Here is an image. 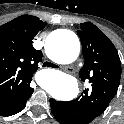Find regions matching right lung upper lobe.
Listing matches in <instances>:
<instances>
[{
  "label": "right lung upper lobe",
  "mask_w": 124,
  "mask_h": 124,
  "mask_svg": "<svg viewBox=\"0 0 124 124\" xmlns=\"http://www.w3.org/2000/svg\"><path fill=\"white\" fill-rule=\"evenodd\" d=\"M45 25L38 17L22 15L0 26V109L18 106L32 95L30 82L42 61L32 40Z\"/></svg>",
  "instance_id": "right-lung-upper-lobe-1"
}]
</instances>
